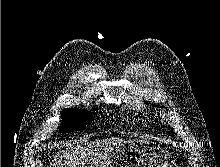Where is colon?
<instances>
[{
    "label": "colon",
    "instance_id": "colon-1",
    "mask_svg": "<svg viewBox=\"0 0 220 167\" xmlns=\"http://www.w3.org/2000/svg\"><path fill=\"white\" fill-rule=\"evenodd\" d=\"M170 167H178L177 165H171Z\"/></svg>",
    "mask_w": 220,
    "mask_h": 167
}]
</instances>
